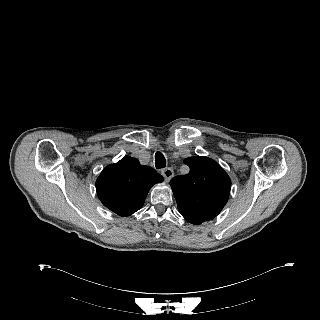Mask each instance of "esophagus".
I'll list each match as a JSON object with an SVG mask.
<instances>
[{
	"mask_svg": "<svg viewBox=\"0 0 320 320\" xmlns=\"http://www.w3.org/2000/svg\"><path fill=\"white\" fill-rule=\"evenodd\" d=\"M161 173L166 181H169L173 177V174H174L173 169H171V168H165L162 170Z\"/></svg>",
	"mask_w": 320,
	"mask_h": 320,
	"instance_id": "1",
	"label": "esophagus"
}]
</instances>
